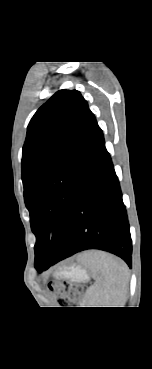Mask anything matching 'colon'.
<instances>
[{
    "label": "colon",
    "instance_id": "5ec220e1",
    "mask_svg": "<svg viewBox=\"0 0 152 369\" xmlns=\"http://www.w3.org/2000/svg\"><path fill=\"white\" fill-rule=\"evenodd\" d=\"M49 290L58 295L61 305L75 302L82 296L81 287L70 283L53 282L49 285Z\"/></svg>",
    "mask_w": 152,
    "mask_h": 369
}]
</instances>
